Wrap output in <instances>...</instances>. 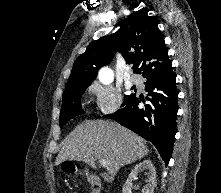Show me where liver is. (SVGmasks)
Returning <instances> with one entry per match:
<instances>
[{"instance_id":"obj_1","label":"liver","mask_w":221,"mask_h":193,"mask_svg":"<svg viewBox=\"0 0 221 193\" xmlns=\"http://www.w3.org/2000/svg\"><path fill=\"white\" fill-rule=\"evenodd\" d=\"M148 153L146 142L127 128L105 120H86L66 138L55 164L75 160L96 168V161L104 159L109 173L115 175L121 167Z\"/></svg>"}]
</instances>
